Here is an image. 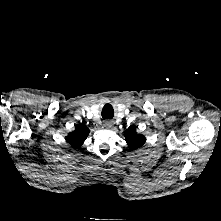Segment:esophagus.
Wrapping results in <instances>:
<instances>
[{"mask_svg":"<svg viewBox=\"0 0 221 221\" xmlns=\"http://www.w3.org/2000/svg\"><path fill=\"white\" fill-rule=\"evenodd\" d=\"M106 126H108V127H109V126H110V123H106Z\"/></svg>","mask_w":221,"mask_h":221,"instance_id":"1","label":"esophagus"}]
</instances>
